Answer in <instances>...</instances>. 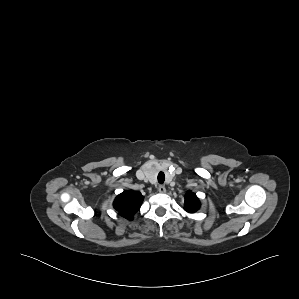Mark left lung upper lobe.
I'll return each instance as SVG.
<instances>
[{
	"label": "left lung upper lobe",
	"mask_w": 299,
	"mask_h": 299,
	"mask_svg": "<svg viewBox=\"0 0 299 299\" xmlns=\"http://www.w3.org/2000/svg\"><path fill=\"white\" fill-rule=\"evenodd\" d=\"M200 208V201L192 192H187L185 195L184 210L189 213H195Z\"/></svg>",
	"instance_id": "obj_1"
}]
</instances>
